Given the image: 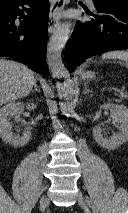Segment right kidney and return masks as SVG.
Listing matches in <instances>:
<instances>
[{"label": "right kidney", "instance_id": "obj_1", "mask_svg": "<svg viewBox=\"0 0 128 213\" xmlns=\"http://www.w3.org/2000/svg\"><path fill=\"white\" fill-rule=\"evenodd\" d=\"M25 107L29 110L37 108V105L23 102H10L0 108V136L2 140L14 147H22L26 145L31 139V131L25 129L22 136L16 135L12 132V123L9 117H15L19 121L20 115L23 113Z\"/></svg>", "mask_w": 128, "mask_h": 213}]
</instances>
